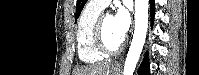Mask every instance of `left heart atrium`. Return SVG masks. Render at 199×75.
Wrapping results in <instances>:
<instances>
[{
	"instance_id": "left-heart-atrium-1",
	"label": "left heart atrium",
	"mask_w": 199,
	"mask_h": 75,
	"mask_svg": "<svg viewBox=\"0 0 199 75\" xmlns=\"http://www.w3.org/2000/svg\"><path fill=\"white\" fill-rule=\"evenodd\" d=\"M130 26V17L123 8L113 16V28L118 37L123 40Z\"/></svg>"
}]
</instances>
